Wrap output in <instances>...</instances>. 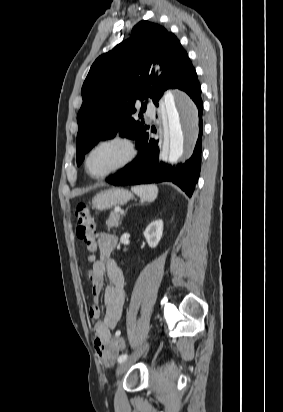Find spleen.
I'll return each instance as SVG.
<instances>
[{
  "mask_svg": "<svg viewBox=\"0 0 283 412\" xmlns=\"http://www.w3.org/2000/svg\"><path fill=\"white\" fill-rule=\"evenodd\" d=\"M131 190L142 200L152 202L157 198L158 187L156 185L134 186Z\"/></svg>",
  "mask_w": 283,
  "mask_h": 412,
  "instance_id": "3e777b00",
  "label": "spleen"
}]
</instances>
